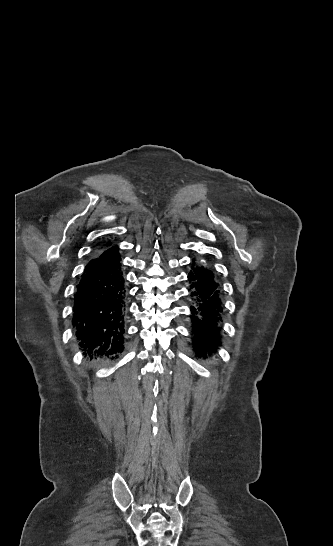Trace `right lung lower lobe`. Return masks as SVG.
Here are the masks:
<instances>
[{"label":"right lung lower lobe","mask_w":333,"mask_h":546,"mask_svg":"<svg viewBox=\"0 0 333 546\" xmlns=\"http://www.w3.org/2000/svg\"><path fill=\"white\" fill-rule=\"evenodd\" d=\"M121 266L113 246L93 256L76 286L72 326L85 355L124 348L126 284Z\"/></svg>","instance_id":"98d812e1"}]
</instances>
